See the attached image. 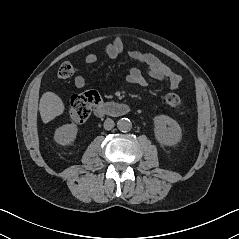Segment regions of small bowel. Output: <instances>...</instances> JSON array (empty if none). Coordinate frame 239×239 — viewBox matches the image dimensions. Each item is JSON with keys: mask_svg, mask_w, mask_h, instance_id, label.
<instances>
[{"mask_svg": "<svg viewBox=\"0 0 239 239\" xmlns=\"http://www.w3.org/2000/svg\"><path fill=\"white\" fill-rule=\"evenodd\" d=\"M123 51V42L116 38L107 48L105 53L110 58H116ZM128 56L136 61L146 64L148 74L155 80H167L172 90H176L181 86V77L168 66L162 63L156 56L150 53H143L138 50H129ZM86 64H93L97 61V56L93 53L88 54L84 59ZM126 80L130 84L139 86H146L147 81L141 71L137 68H132L126 76ZM74 85L77 89H84L86 87V80L83 76H76L74 78Z\"/></svg>", "mask_w": 239, "mask_h": 239, "instance_id": "c3829d8e", "label": "small bowel"}]
</instances>
